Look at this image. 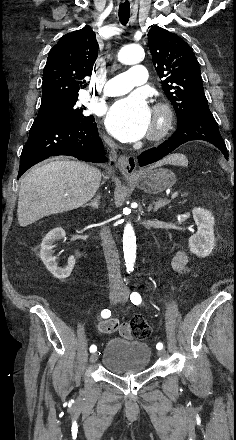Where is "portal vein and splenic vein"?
Segmentation results:
<instances>
[{"mask_svg": "<svg viewBox=\"0 0 236 440\" xmlns=\"http://www.w3.org/2000/svg\"><path fill=\"white\" fill-rule=\"evenodd\" d=\"M178 196V191H176L175 193L172 194L171 198L174 199Z\"/></svg>", "mask_w": 236, "mask_h": 440, "instance_id": "obj_1", "label": "portal vein and splenic vein"}]
</instances>
